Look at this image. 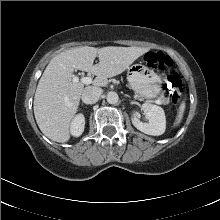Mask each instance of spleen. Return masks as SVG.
<instances>
[{
	"mask_svg": "<svg viewBox=\"0 0 220 220\" xmlns=\"http://www.w3.org/2000/svg\"><path fill=\"white\" fill-rule=\"evenodd\" d=\"M185 108H186V103L183 100L179 105V108H178V111H177V116H176V119H175V122H174V127H178L180 125V123L182 122L184 112H185Z\"/></svg>",
	"mask_w": 220,
	"mask_h": 220,
	"instance_id": "spleen-1",
	"label": "spleen"
}]
</instances>
